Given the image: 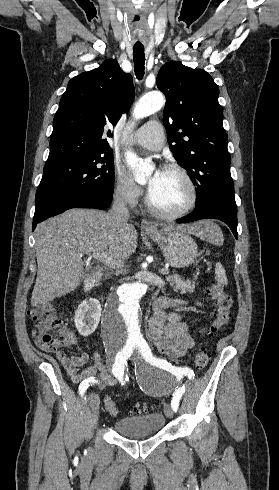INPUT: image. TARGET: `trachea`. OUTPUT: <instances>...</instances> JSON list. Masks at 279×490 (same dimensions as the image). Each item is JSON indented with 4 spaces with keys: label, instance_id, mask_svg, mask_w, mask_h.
Masks as SVG:
<instances>
[{
    "label": "trachea",
    "instance_id": "3493384b",
    "mask_svg": "<svg viewBox=\"0 0 279 490\" xmlns=\"http://www.w3.org/2000/svg\"><path fill=\"white\" fill-rule=\"evenodd\" d=\"M133 58H134V69L135 75L139 80L142 79L144 75V47H133Z\"/></svg>",
    "mask_w": 279,
    "mask_h": 490
}]
</instances>
